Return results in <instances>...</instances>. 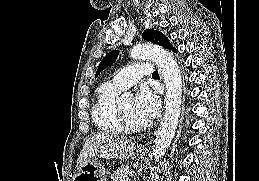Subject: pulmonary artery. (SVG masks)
<instances>
[{
	"label": "pulmonary artery",
	"instance_id": "e3ab8cb5",
	"mask_svg": "<svg viewBox=\"0 0 259 181\" xmlns=\"http://www.w3.org/2000/svg\"><path fill=\"white\" fill-rule=\"evenodd\" d=\"M153 74L150 63L138 61L117 73L109 82L119 89H126L137 83L141 77Z\"/></svg>",
	"mask_w": 259,
	"mask_h": 181
}]
</instances>
